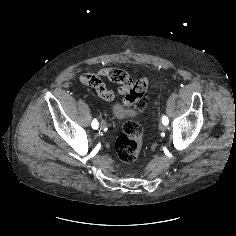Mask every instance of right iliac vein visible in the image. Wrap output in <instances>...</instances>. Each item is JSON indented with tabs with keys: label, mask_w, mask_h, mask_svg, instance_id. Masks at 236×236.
Listing matches in <instances>:
<instances>
[{
	"label": "right iliac vein",
	"mask_w": 236,
	"mask_h": 236,
	"mask_svg": "<svg viewBox=\"0 0 236 236\" xmlns=\"http://www.w3.org/2000/svg\"><path fill=\"white\" fill-rule=\"evenodd\" d=\"M105 126H106L105 121H101V122H100V128H105Z\"/></svg>",
	"instance_id": "1"
}]
</instances>
